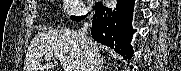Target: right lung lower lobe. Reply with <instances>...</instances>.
<instances>
[{"instance_id": "obj_1", "label": "right lung lower lobe", "mask_w": 181, "mask_h": 71, "mask_svg": "<svg viewBox=\"0 0 181 71\" xmlns=\"http://www.w3.org/2000/svg\"><path fill=\"white\" fill-rule=\"evenodd\" d=\"M135 0H117L115 9L95 5L91 34L95 41L105 44L125 59H131L133 49L130 41L135 30L132 29L133 7ZM87 16V15H86ZM86 16L72 18L80 21Z\"/></svg>"}]
</instances>
